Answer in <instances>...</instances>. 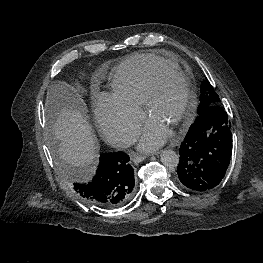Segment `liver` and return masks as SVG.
I'll list each match as a JSON object with an SVG mask.
<instances>
[{"label":"liver","instance_id":"liver-1","mask_svg":"<svg viewBox=\"0 0 263 263\" xmlns=\"http://www.w3.org/2000/svg\"><path fill=\"white\" fill-rule=\"evenodd\" d=\"M50 116L54 118L52 131L58 141V152L63 160L79 171L93 165L97 139L82 114L81 98L67 83L53 84L48 92Z\"/></svg>","mask_w":263,"mask_h":263}]
</instances>
